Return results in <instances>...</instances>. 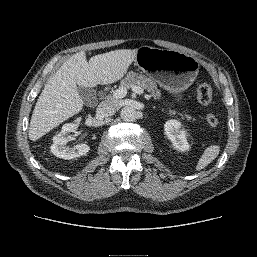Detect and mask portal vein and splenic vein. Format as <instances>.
<instances>
[{"label":"portal vein and splenic vein","instance_id":"18ae733b","mask_svg":"<svg viewBox=\"0 0 257 257\" xmlns=\"http://www.w3.org/2000/svg\"><path fill=\"white\" fill-rule=\"evenodd\" d=\"M132 91L137 94L144 93V90L140 86H137V85L132 86ZM126 94H127V89H125L124 87H120L113 92V97L123 98L126 96Z\"/></svg>","mask_w":257,"mask_h":257}]
</instances>
